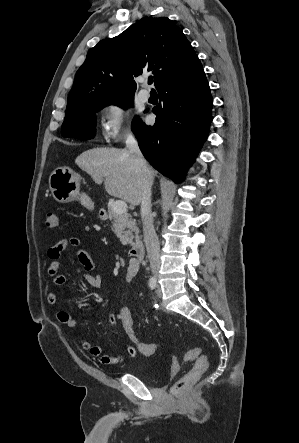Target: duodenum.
I'll use <instances>...</instances> for the list:
<instances>
[{
  "mask_svg": "<svg viewBox=\"0 0 299 443\" xmlns=\"http://www.w3.org/2000/svg\"><path fill=\"white\" fill-rule=\"evenodd\" d=\"M129 255L133 263H139L144 257V245L140 240L131 243Z\"/></svg>",
  "mask_w": 299,
  "mask_h": 443,
  "instance_id": "duodenum-1",
  "label": "duodenum"
}]
</instances>
